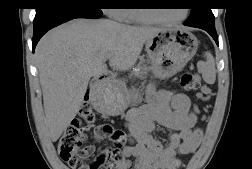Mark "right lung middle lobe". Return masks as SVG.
Instances as JSON below:
<instances>
[{
  "mask_svg": "<svg viewBox=\"0 0 252 169\" xmlns=\"http://www.w3.org/2000/svg\"><path fill=\"white\" fill-rule=\"evenodd\" d=\"M102 0H69L57 2V0H42L36 8V15L61 7H76L93 13L102 14Z\"/></svg>",
  "mask_w": 252,
  "mask_h": 169,
  "instance_id": "right-lung-middle-lobe-1",
  "label": "right lung middle lobe"
}]
</instances>
